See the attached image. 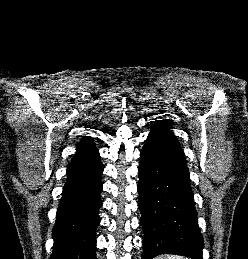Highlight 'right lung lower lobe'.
Returning a JSON list of instances; mask_svg holds the SVG:
<instances>
[{"label":"right lung lower lobe","instance_id":"98d812e1","mask_svg":"<svg viewBox=\"0 0 248 259\" xmlns=\"http://www.w3.org/2000/svg\"><path fill=\"white\" fill-rule=\"evenodd\" d=\"M102 171L98 152L69 163L52 231L54 250L50 259H96L95 230L100 223Z\"/></svg>","mask_w":248,"mask_h":259}]
</instances>
